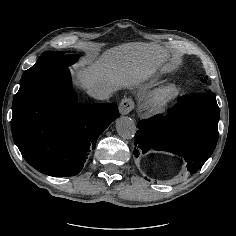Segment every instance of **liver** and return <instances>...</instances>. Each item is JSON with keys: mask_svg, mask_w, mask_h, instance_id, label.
Instances as JSON below:
<instances>
[{"mask_svg": "<svg viewBox=\"0 0 236 236\" xmlns=\"http://www.w3.org/2000/svg\"><path fill=\"white\" fill-rule=\"evenodd\" d=\"M162 57L159 45L126 43L103 52L99 58H90L78 64L77 79L87 92L95 85L107 83L112 88L138 85L156 71L155 59Z\"/></svg>", "mask_w": 236, "mask_h": 236, "instance_id": "obj_1", "label": "liver"}]
</instances>
